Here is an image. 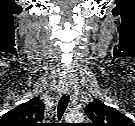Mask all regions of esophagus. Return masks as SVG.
Here are the masks:
<instances>
[{"label": "esophagus", "mask_w": 135, "mask_h": 126, "mask_svg": "<svg viewBox=\"0 0 135 126\" xmlns=\"http://www.w3.org/2000/svg\"><path fill=\"white\" fill-rule=\"evenodd\" d=\"M64 93L68 94L70 96V102L72 105H75L77 103V99H76L75 95L73 94V88L71 85L66 86Z\"/></svg>", "instance_id": "esophagus-1"}]
</instances>
